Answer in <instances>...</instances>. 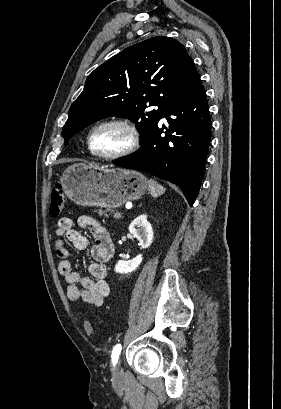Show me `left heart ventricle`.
Segmentation results:
<instances>
[{
  "label": "left heart ventricle",
  "instance_id": "1",
  "mask_svg": "<svg viewBox=\"0 0 281 409\" xmlns=\"http://www.w3.org/2000/svg\"><path fill=\"white\" fill-rule=\"evenodd\" d=\"M127 142L126 134L118 128H107L99 131L95 136V150L98 153H113L122 148Z\"/></svg>",
  "mask_w": 281,
  "mask_h": 409
}]
</instances>
